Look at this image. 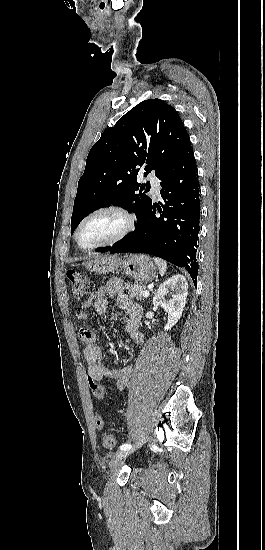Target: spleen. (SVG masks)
Wrapping results in <instances>:
<instances>
[{
	"instance_id": "obj_1",
	"label": "spleen",
	"mask_w": 265,
	"mask_h": 550,
	"mask_svg": "<svg viewBox=\"0 0 265 550\" xmlns=\"http://www.w3.org/2000/svg\"><path fill=\"white\" fill-rule=\"evenodd\" d=\"M154 261L158 266L160 275L163 276L167 269V262L157 257H154Z\"/></svg>"
}]
</instances>
